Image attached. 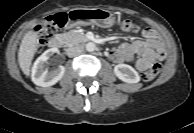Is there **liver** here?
Listing matches in <instances>:
<instances>
[{
  "label": "liver",
  "mask_w": 194,
  "mask_h": 133,
  "mask_svg": "<svg viewBox=\"0 0 194 133\" xmlns=\"http://www.w3.org/2000/svg\"><path fill=\"white\" fill-rule=\"evenodd\" d=\"M37 32L31 30L25 34L19 47L18 62L22 72L29 76L33 57L38 48Z\"/></svg>",
  "instance_id": "obj_1"
}]
</instances>
